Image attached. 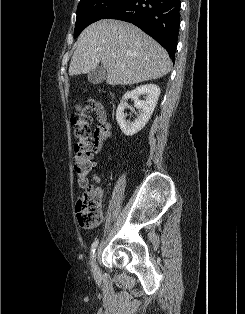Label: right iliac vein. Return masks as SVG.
<instances>
[{"mask_svg": "<svg viewBox=\"0 0 245 314\" xmlns=\"http://www.w3.org/2000/svg\"><path fill=\"white\" fill-rule=\"evenodd\" d=\"M92 271H93L94 275L99 274V267H98L97 262H96V255L94 257V261H93V265H92Z\"/></svg>", "mask_w": 245, "mask_h": 314, "instance_id": "1", "label": "right iliac vein"}]
</instances>
